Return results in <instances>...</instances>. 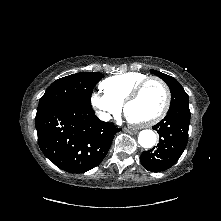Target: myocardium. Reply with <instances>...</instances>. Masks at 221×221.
<instances>
[{
    "label": "myocardium",
    "mask_w": 221,
    "mask_h": 221,
    "mask_svg": "<svg viewBox=\"0 0 221 221\" xmlns=\"http://www.w3.org/2000/svg\"><path fill=\"white\" fill-rule=\"evenodd\" d=\"M150 82L158 83L164 91L165 101H164V105H163L162 109L160 110V112L158 114H156L154 117H152L146 121L134 122V121L129 120L127 117L128 106L139 97V95L141 94L144 87L147 84H149ZM170 103H171V94H170V89L167 86V84L163 80H161L160 78L147 77L146 79L141 81L127 96V98L123 102V110H124V113H125L128 121L132 125H134L135 127H138V128H145V127H151V126L157 124L158 122H160L166 116V114L170 108Z\"/></svg>",
    "instance_id": "1"
}]
</instances>
